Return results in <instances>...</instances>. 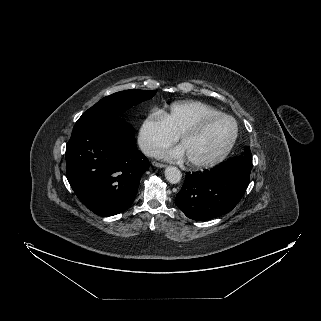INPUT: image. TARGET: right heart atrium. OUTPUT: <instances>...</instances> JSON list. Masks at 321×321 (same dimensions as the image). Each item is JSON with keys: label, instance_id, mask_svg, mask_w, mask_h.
Wrapping results in <instances>:
<instances>
[{"label": "right heart atrium", "instance_id": "1", "mask_svg": "<svg viewBox=\"0 0 321 321\" xmlns=\"http://www.w3.org/2000/svg\"><path fill=\"white\" fill-rule=\"evenodd\" d=\"M173 135L166 127L161 112H151L142 122L138 142L147 155H154L158 151L170 146L176 141Z\"/></svg>", "mask_w": 321, "mask_h": 321}]
</instances>
